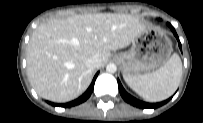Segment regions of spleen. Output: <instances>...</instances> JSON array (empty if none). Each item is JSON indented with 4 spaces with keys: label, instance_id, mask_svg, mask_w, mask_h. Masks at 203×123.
Segmentation results:
<instances>
[{
    "label": "spleen",
    "instance_id": "obj_1",
    "mask_svg": "<svg viewBox=\"0 0 203 123\" xmlns=\"http://www.w3.org/2000/svg\"><path fill=\"white\" fill-rule=\"evenodd\" d=\"M182 76V62L178 54L152 73L124 75L128 86L148 102H159L170 97L177 89Z\"/></svg>",
    "mask_w": 203,
    "mask_h": 123
}]
</instances>
